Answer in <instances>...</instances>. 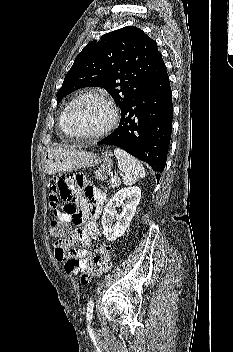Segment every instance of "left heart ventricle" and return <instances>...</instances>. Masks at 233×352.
Instances as JSON below:
<instances>
[{
    "mask_svg": "<svg viewBox=\"0 0 233 352\" xmlns=\"http://www.w3.org/2000/svg\"><path fill=\"white\" fill-rule=\"evenodd\" d=\"M110 119L108 107L100 100H80L71 113L72 129L76 133H93L104 127Z\"/></svg>",
    "mask_w": 233,
    "mask_h": 352,
    "instance_id": "1",
    "label": "left heart ventricle"
}]
</instances>
